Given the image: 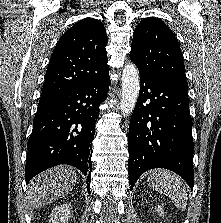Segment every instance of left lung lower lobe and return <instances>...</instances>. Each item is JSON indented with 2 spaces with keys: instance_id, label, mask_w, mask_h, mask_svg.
I'll use <instances>...</instances> for the list:
<instances>
[{
  "instance_id": "obj_1",
  "label": "left lung lower lobe",
  "mask_w": 221,
  "mask_h": 223,
  "mask_svg": "<svg viewBox=\"0 0 221 223\" xmlns=\"http://www.w3.org/2000/svg\"><path fill=\"white\" fill-rule=\"evenodd\" d=\"M139 98L129 125V184L166 168L194 186L192 119L187 89L140 72Z\"/></svg>"
}]
</instances>
